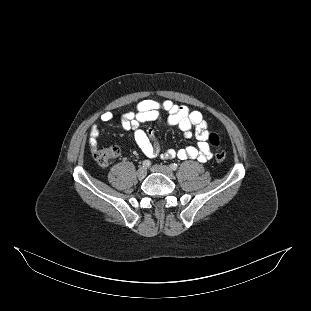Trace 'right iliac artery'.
I'll list each match as a JSON object with an SVG mask.
<instances>
[{
    "label": "right iliac artery",
    "instance_id": "right-iliac-artery-1",
    "mask_svg": "<svg viewBox=\"0 0 311 311\" xmlns=\"http://www.w3.org/2000/svg\"><path fill=\"white\" fill-rule=\"evenodd\" d=\"M151 166V162L149 160H145L142 164V167L147 169Z\"/></svg>",
    "mask_w": 311,
    "mask_h": 311
}]
</instances>
